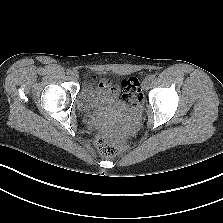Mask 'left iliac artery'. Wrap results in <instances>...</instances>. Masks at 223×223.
I'll list each match as a JSON object with an SVG mask.
<instances>
[{
  "instance_id": "44dca946",
  "label": "left iliac artery",
  "mask_w": 223,
  "mask_h": 223,
  "mask_svg": "<svg viewBox=\"0 0 223 223\" xmlns=\"http://www.w3.org/2000/svg\"><path fill=\"white\" fill-rule=\"evenodd\" d=\"M154 79H155V75H154V74H152V75L149 76V80L152 81V80H154Z\"/></svg>"
}]
</instances>
